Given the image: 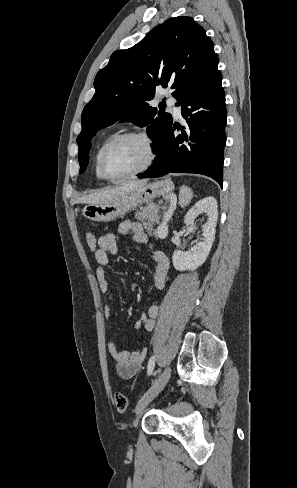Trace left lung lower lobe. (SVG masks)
Returning <instances> with one entry per match:
<instances>
[{"label":"left lung lower lobe","mask_w":297,"mask_h":488,"mask_svg":"<svg viewBox=\"0 0 297 488\" xmlns=\"http://www.w3.org/2000/svg\"><path fill=\"white\" fill-rule=\"evenodd\" d=\"M222 75L218 71L199 91L181 104L185 126L171 125L157 159L140 178H153L172 173H196L209 176L222 187L225 126L227 123Z\"/></svg>","instance_id":"0a47b994"}]
</instances>
